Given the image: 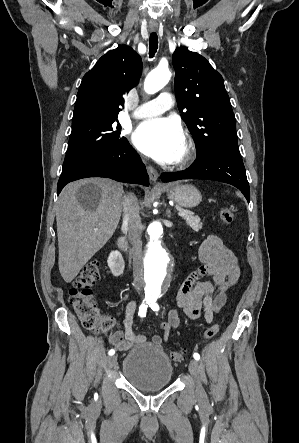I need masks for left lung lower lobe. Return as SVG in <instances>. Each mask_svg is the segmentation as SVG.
<instances>
[{
    "label": "left lung lower lobe",
    "mask_w": 299,
    "mask_h": 443,
    "mask_svg": "<svg viewBox=\"0 0 299 443\" xmlns=\"http://www.w3.org/2000/svg\"><path fill=\"white\" fill-rule=\"evenodd\" d=\"M180 179H210L229 183L237 187L250 201L249 184L241 155L227 150H211L197 156L186 170L166 172L161 175L163 182Z\"/></svg>",
    "instance_id": "0a47b994"
}]
</instances>
